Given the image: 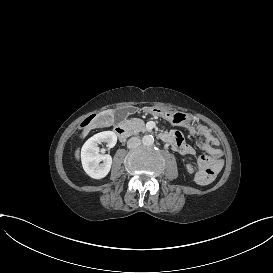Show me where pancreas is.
I'll use <instances>...</instances> for the list:
<instances>
[{
    "instance_id": "1",
    "label": "pancreas",
    "mask_w": 273,
    "mask_h": 273,
    "mask_svg": "<svg viewBox=\"0 0 273 273\" xmlns=\"http://www.w3.org/2000/svg\"><path fill=\"white\" fill-rule=\"evenodd\" d=\"M126 125L132 129L133 134H138L139 132H146L148 131L145 122L143 119L140 118H131L126 121Z\"/></svg>"
}]
</instances>
